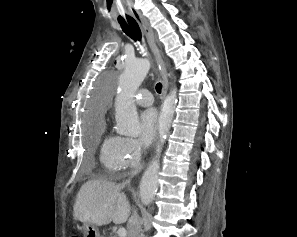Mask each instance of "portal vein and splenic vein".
Here are the masks:
<instances>
[{
	"instance_id": "obj_1",
	"label": "portal vein and splenic vein",
	"mask_w": 297,
	"mask_h": 237,
	"mask_svg": "<svg viewBox=\"0 0 297 237\" xmlns=\"http://www.w3.org/2000/svg\"><path fill=\"white\" fill-rule=\"evenodd\" d=\"M117 234L119 237H126L127 232L124 228H119Z\"/></svg>"
}]
</instances>
